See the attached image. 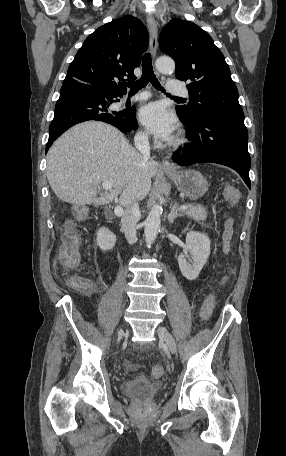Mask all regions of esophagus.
<instances>
[{"label": "esophagus", "instance_id": "esophagus-1", "mask_svg": "<svg viewBox=\"0 0 286 456\" xmlns=\"http://www.w3.org/2000/svg\"><path fill=\"white\" fill-rule=\"evenodd\" d=\"M147 25H148V30H149V35H150V52L153 57L156 56L157 53V45H158V28H157V23L154 19V17L149 14L147 16ZM162 167L165 171L169 172H175L176 168L173 164L169 162L167 159L162 160Z\"/></svg>", "mask_w": 286, "mask_h": 456}]
</instances>
